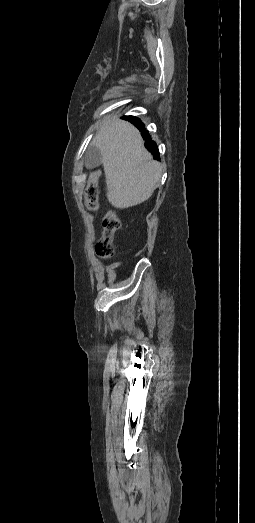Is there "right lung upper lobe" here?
<instances>
[{
    "instance_id": "right-lung-upper-lobe-1",
    "label": "right lung upper lobe",
    "mask_w": 255,
    "mask_h": 523,
    "mask_svg": "<svg viewBox=\"0 0 255 523\" xmlns=\"http://www.w3.org/2000/svg\"><path fill=\"white\" fill-rule=\"evenodd\" d=\"M129 121L134 123L138 129L142 132V137L145 140V147L153 154L155 159L160 160L159 150L156 143L151 139L147 131L144 130V124L136 117H126Z\"/></svg>"
}]
</instances>
